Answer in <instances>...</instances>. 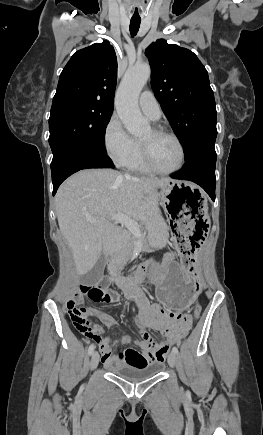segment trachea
Listing matches in <instances>:
<instances>
[{"mask_svg":"<svg viewBox=\"0 0 263 435\" xmlns=\"http://www.w3.org/2000/svg\"><path fill=\"white\" fill-rule=\"evenodd\" d=\"M141 20H131L130 21V33L135 36L139 30Z\"/></svg>","mask_w":263,"mask_h":435,"instance_id":"3493384b","label":"trachea"}]
</instances>
